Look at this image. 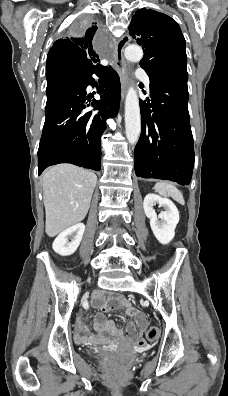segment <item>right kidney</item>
I'll list each match as a JSON object with an SVG mask.
<instances>
[{
	"label": "right kidney",
	"mask_w": 228,
	"mask_h": 396,
	"mask_svg": "<svg viewBox=\"0 0 228 396\" xmlns=\"http://www.w3.org/2000/svg\"><path fill=\"white\" fill-rule=\"evenodd\" d=\"M85 225L75 224L61 232L52 244L53 250L61 256L72 255L80 245Z\"/></svg>",
	"instance_id": "right-kidney-1"
}]
</instances>
